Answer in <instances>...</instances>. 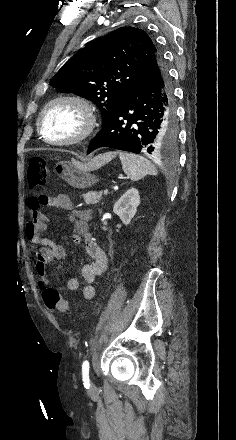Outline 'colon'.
<instances>
[{"instance_id": "colon-1", "label": "colon", "mask_w": 236, "mask_h": 440, "mask_svg": "<svg viewBox=\"0 0 236 440\" xmlns=\"http://www.w3.org/2000/svg\"><path fill=\"white\" fill-rule=\"evenodd\" d=\"M49 169L46 159L41 156H35L30 159L27 180L31 188L42 187L48 179ZM42 298L46 307L52 311H58L61 314L69 313L68 302L63 299L58 290L45 286L42 291Z\"/></svg>"}]
</instances>
